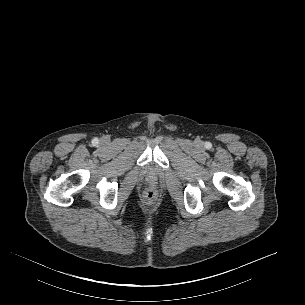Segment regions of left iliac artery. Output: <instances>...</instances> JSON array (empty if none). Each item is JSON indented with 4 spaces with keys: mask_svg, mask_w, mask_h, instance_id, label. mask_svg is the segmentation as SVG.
<instances>
[{
    "mask_svg": "<svg viewBox=\"0 0 305 305\" xmlns=\"http://www.w3.org/2000/svg\"><path fill=\"white\" fill-rule=\"evenodd\" d=\"M205 147L207 149H210L212 147V144L210 142H206Z\"/></svg>",
    "mask_w": 305,
    "mask_h": 305,
    "instance_id": "1",
    "label": "left iliac artery"
}]
</instances>
